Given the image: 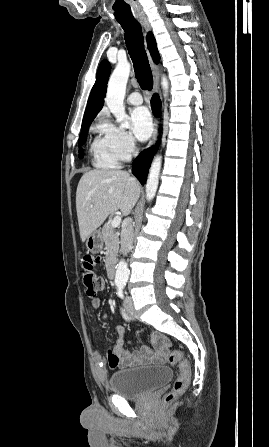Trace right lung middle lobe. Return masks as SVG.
<instances>
[{
    "mask_svg": "<svg viewBox=\"0 0 269 447\" xmlns=\"http://www.w3.org/2000/svg\"><path fill=\"white\" fill-rule=\"evenodd\" d=\"M91 123H89V124H85V125H83L82 127H81V134H80V137H79V140H78V146L80 147V146H82L83 144H85V142H86V139H87V132H88V128H89V125H90ZM79 157L80 158H83V151H82V148H80L79 149Z\"/></svg>",
    "mask_w": 269,
    "mask_h": 447,
    "instance_id": "1",
    "label": "right lung middle lobe"
}]
</instances>
